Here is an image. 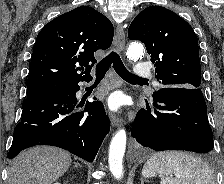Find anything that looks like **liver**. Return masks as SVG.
Here are the masks:
<instances>
[{
  "instance_id": "liver-1",
  "label": "liver",
  "mask_w": 224,
  "mask_h": 184,
  "mask_svg": "<svg viewBox=\"0 0 224 184\" xmlns=\"http://www.w3.org/2000/svg\"><path fill=\"white\" fill-rule=\"evenodd\" d=\"M71 165V155L59 148L37 146L22 151L8 168L7 184H52Z\"/></svg>"
}]
</instances>
